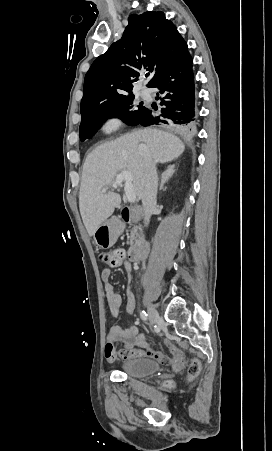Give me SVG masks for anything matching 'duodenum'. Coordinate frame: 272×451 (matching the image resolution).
I'll return each mask as SVG.
<instances>
[{"label":"duodenum","instance_id":"obj_1","mask_svg":"<svg viewBox=\"0 0 272 451\" xmlns=\"http://www.w3.org/2000/svg\"><path fill=\"white\" fill-rule=\"evenodd\" d=\"M141 210L138 207H124L122 209V219L125 222L136 220L140 216ZM145 247L141 244L133 245L128 250V257L131 261H138L144 257Z\"/></svg>","mask_w":272,"mask_h":451}]
</instances>
